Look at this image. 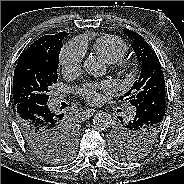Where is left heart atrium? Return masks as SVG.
<instances>
[{
  "label": "left heart atrium",
  "instance_id": "obj_1",
  "mask_svg": "<svg viewBox=\"0 0 184 184\" xmlns=\"http://www.w3.org/2000/svg\"><path fill=\"white\" fill-rule=\"evenodd\" d=\"M113 85L108 81L98 84L84 83L77 87V93L89 103H97L100 101V91H112Z\"/></svg>",
  "mask_w": 184,
  "mask_h": 184
}]
</instances>
